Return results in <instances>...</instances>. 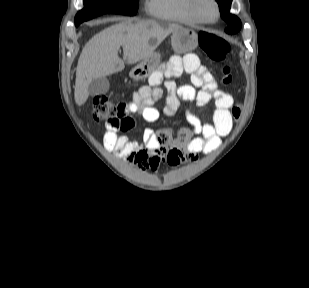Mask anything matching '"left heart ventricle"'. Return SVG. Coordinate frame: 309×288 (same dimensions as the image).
Masks as SVG:
<instances>
[{
	"label": "left heart ventricle",
	"mask_w": 309,
	"mask_h": 288,
	"mask_svg": "<svg viewBox=\"0 0 309 288\" xmlns=\"http://www.w3.org/2000/svg\"><path fill=\"white\" fill-rule=\"evenodd\" d=\"M199 9L204 18L208 20L216 18V8L210 0H201L199 3Z\"/></svg>",
	"instance_id": "left-heart-ventricle-1"
}]
</instances>
